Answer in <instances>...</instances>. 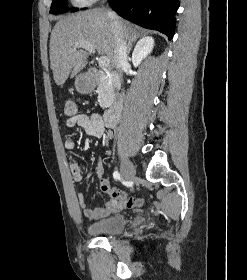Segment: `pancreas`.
I'll return each mask as SVG.
<instances>
[{
  "label": "pancreas",
  "instance_id": "cf45deb5",
  "mask_svg": "<svg viewBox=\"0 0 247 280\" xmlns=\"http://www.w3.org/2000/svg\"><path fill=\"white\" fill-rule=\"evenodd\" d=\"M98 102L102 108L108 107L115 97V84L107 76L101 74L97 88Z\"/></svg>",
  "mask_w": 247,
  "mask_h": 280
}]
</instances>
